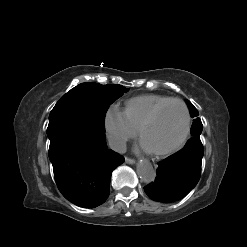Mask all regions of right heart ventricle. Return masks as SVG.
<instances>
[{
    "instance_id": "obj_1",
    "label": "right heart ventricle",
    "mask_w": 247,
    "mask_h": 247,
    "mask_svg": "<svg viewBox=\"0 0 247 247\" xmlns=\"http://www.w3.org/2000/svg\"><path fill=\"white\" fill-rule=\"evenodd\" d=\"M170 97L158 94H145L133 97L125 102L124 116L129 125L138 131L141 124L161 103L169 100Z\"/></svg>"
}]
</instances>
